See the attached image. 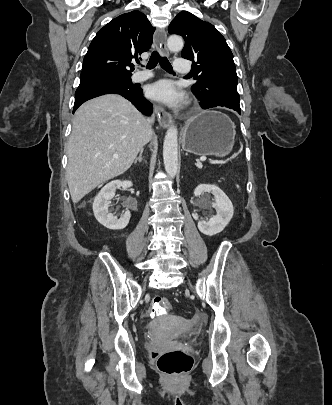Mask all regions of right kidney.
Wrapping results in <instances>:
<instances>
[{
	"instance_id": "obj_1",
	"label": "right kidney",
	"mask_w": 332,
	"mask_h": 405,
	"mask_svg": "<svg viewBox=\"0 0 332 405\" xmlns=\"http://www.w3.org/2000/svg\"><path fill=\"white\" fill-rule=\"evenodd\" d=\"M133 183L129 180H114L106 184L98 195L95 197L93 202V212L97 221L104 227L111 230H122L127 227L131 213L126 210L120 218L114 216L108 211L110 200L114 197L116 189L118 188H130Z\"/></svg>"
}]
</instances>
